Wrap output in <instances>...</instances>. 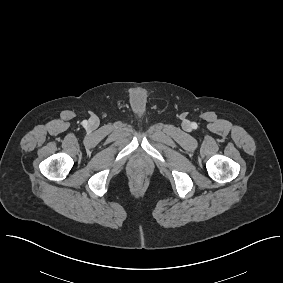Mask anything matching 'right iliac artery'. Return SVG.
<instances>
[{"label":"right iliac artery","instance_id":"82829eb1","mask_svg":"<svg viewBox=\"0 0 283 283\" xmlns=\"http://www.w3.org/2000/svg\"><path fill=\"white\" fill-rule=\"evenodd\" d=\"M83 123H84V124H86L87 122H86V121H84Z\"/></svg>","mask_w":283,"mask_h":283}]
</instances>
